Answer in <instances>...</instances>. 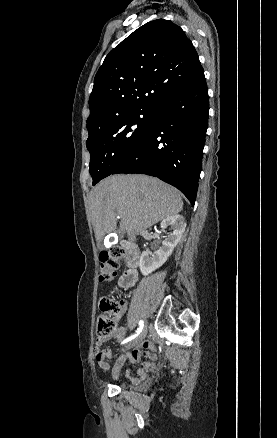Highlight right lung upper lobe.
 <instances>
[{
	"mask_svg": "<svg viewBox=\"0 0 277 438\" xmlns=\"http://www.w3.org/2000/svg\"><path fill=\"white\" fill-rule=\"evenodd\" d=\"M203 72L192 42L178 25L164 19L150 21L106 56L94 79L87 128L154 109L165 94Z\"/></svg>",
	"mask_w": 277,
	"mask_h": 438,
	"instance_id": "obj_1",
	"label": "right lung upper lobe"
}]
</instances>
